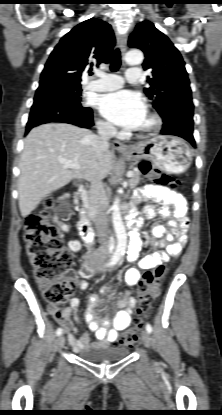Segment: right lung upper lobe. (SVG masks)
<instances>
[{"mask_svg": "<svg viewBox=\"0 0 222 415\" xmlns=\"http://www.w3.org/2000/svg\"><path fill=\"white\" fill-rule=\"evenodd\" d=\"M114 45V33L108 23L95 18L86 20L61 38L40 78L54 77L81 86L83 71L108 63Z\"/></svg>", "mask_w": 222, "mask_h": 415, "instance_id": "cb5924a9", "label": "right lung upper lobe"}]
</instances>
